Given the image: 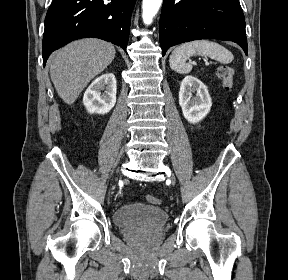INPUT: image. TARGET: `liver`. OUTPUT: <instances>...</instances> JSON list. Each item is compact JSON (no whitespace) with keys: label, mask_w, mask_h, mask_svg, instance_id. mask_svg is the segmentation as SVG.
<instances>
[{"label":"liver","mask_w":288,"mask_h":280,"mask_svg":"<svg viewBox=\"0 0 288 280\" xmlns=\"http://www.w3.org/2000/svg\"><path fill=\"white\" fill-rule=\"evenodd\" d=\"M115 48L99 39H81L58 51L50 66L51 80L62 100L71 105L87 84L113 61Z\"/></svg>","instance_id":"1"}]
</instances>
